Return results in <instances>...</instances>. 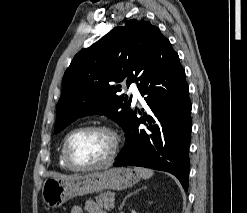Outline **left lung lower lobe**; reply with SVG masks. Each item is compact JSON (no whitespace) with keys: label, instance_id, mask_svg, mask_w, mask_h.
Masks as SVG:
<instances>
[{"label":"left lung lower lobe","instance_id":"left-lung-lower-lobe-1","mask_svg":"<svg viewBox=\"0 0 247 213\" xmlns=\"http://www.w3.org/2000/svg\"><path fill=\"white\" fill-rule=\"evenodd\" d=\"M154 118L144 109L133 111L124 129L126 142L114 166H141L175 175L188 190L191 102L189 87L176 52L153 65L138 84ZM137 111L143 116L137 118ZM146 127H140V124Z\"/></svg>","mask_w":247,"mask_h":213}]
</instances>
